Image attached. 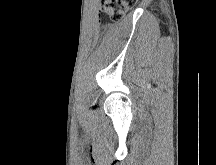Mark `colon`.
<instances>
[{
    "instance_id": "colon-1",
    "label": "colon",
    "mask_w": 216,
    "mask_h": 165,
    "mask_svg": "<svg viewBox=\"0 0 216 165\" xmlns=\"http://www.w3.org/2000/svg\"><path fill=\"white\" fill-rule=\"evenodd\" d=\"M136 3L137 0H103L102 11L113 21H119Z\"/></svg>"
}]
</instances>
